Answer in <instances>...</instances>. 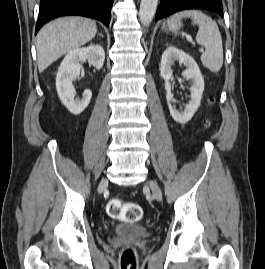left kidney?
<instances>
[{"label":"left kidney","mask_w":265,"mask_h":269,"mask_svg":"<svg viewBox=\"0 0 265 269\" xmlns=\"http://www.w3.org/2000/svg\"><path fill=\"white\" fill-rule=\"evenodd\" d=\"M175 61H179L180 64H184L187 67L185 77L192 81V86L190 87V101L185 106L184 111H178L171 104L173 94L171 93L169 80L172 76L171 66ZM160 75L165 81L166 99L172 118L180 124H186L199 108L204 91V79L197 63L182 50L174 46H169L162 54Z\"/></svg>","instance_id":"left-kidney-1"}]
</instances>
